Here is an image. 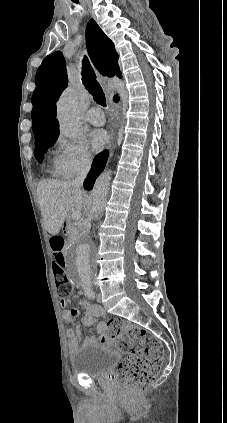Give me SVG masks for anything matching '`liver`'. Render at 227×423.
Instances as JSON below:
<instances>
[{
  "instance_id": "1",
  "label": "liver",
  "mask_w": 227,
  "mask_h": 423,
  "mask_svg": "<svg viewBox=\"0 0 227 423\" xmlns=\"http://www.w3.org/2000/svg\"><path fill=\"white\" fill-rule=\"evenodd\" d=\"M37 196L44 225L51 235L61 231L68 211L73 208L82 210L83 204H87L89 200L86 192L75 190L71 182H56V180L39 182Z\"/></svg>"
}]
</instances>
